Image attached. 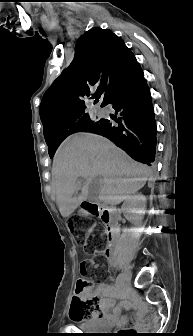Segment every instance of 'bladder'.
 Listing matches in <instances>:
<instances>
[{"label": "bladder", "instance_id": "obj_1", "mask_svg": "<svg viewBox=\"0 0 193 336\" xmlns=\"http://www.w3.org/2000/svg\"><path fill=\"white\" fill-rule=\"evenodd\" d=\"M103 321L101 320H91L85 327L86 330L89 331H101L103 330Z\"/></svg>", "mask_w": 193, "mask_h": 336}]
</instances>
